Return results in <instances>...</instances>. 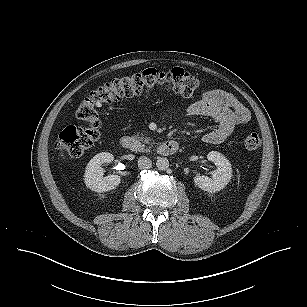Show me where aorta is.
Returning <instances> with one entry per match:
<instances>
[{
    "label": "aorta",
    "mask_w": 307,
    "mask_h": 307,
    "mask_svg": "<svg viewBox=\"0 0 307 307\" xmlns=\"http://www.w3.org/2000/svg\"><path fill=\"white\" fill-rule=\"evenodd\" d=\"M156 166L159 170H167L169 167V160L165 157H159L156 161Z\"/></svg>",
    "instance_id": "obj_1"
}]
</instances>
